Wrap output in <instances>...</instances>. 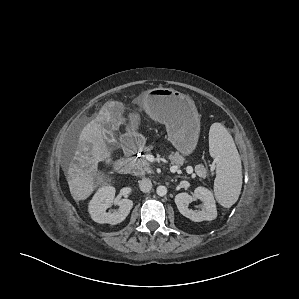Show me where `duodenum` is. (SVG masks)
I'll list each match as a JSON object with an SVG mask.
<instances>
[{
	"label": "duodenum",
	"mask_w": 299,
	"mask_h": 299,
	"mask_svg": "<svg viewBox=\"0 0 299 299\" xmlns=\"http://www.w3.org/2000/svg\"><path fill=\"white\" fill-rule=\"evenodd\" d=\"M124 150H125V158L119 160L116 163V170L121 174H125L129 170V164L131 158H133L137 153V146L135 143V139L132 137H128L124 140Z\"/></svg>",
	"instance_id": "duodenum-1"
}]
</instances>
